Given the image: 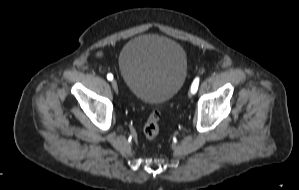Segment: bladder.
<instances>
[{"instance_id":"obj_1","label":"bladder","mask_w":299,"mask_h":190,"mask_svg":"<svg viewBox=\"0 0 299 190\" xmlns=\"http://www.w3.org/2000/svg\"><path fill=\"white\" fill-rule=\"evenodd\" d=\"M118 66L135 97L150 104L174 97L188 70L183 47L172 39L155 35H140L128 41L120 52Z\"/></svg>"}]
</instances>
